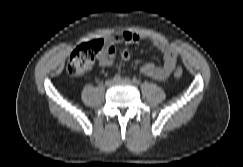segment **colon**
<instances>
[{
  "label": "colon",
  "instance_id": "1",
  "mask_svg": "<svg viewBox=\"0 0 243 167\" xmlns=\"http://www.w3.org/2000/svg\"><path fill=\"white\" fill-rule=\"evenodd\" d=\"M104 41L102 39H95L78 46L71 54L69 62L67 64V71L74 76H80L86 74L96 56L103 50ZM183 74L181 68L176 69L174 75L176 78H180Z\"/></svg>",
  "mask_w": 243,
  "mask_h": 167
}]
</instances>
